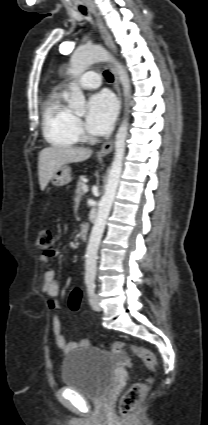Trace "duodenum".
<instances>
[{
	"label": "duodenum",
	"mask_w": 208,
	"mask_h": 425,
	"mask_svg": "<svg viewBox=\"0 0 208 425\" xmlns=\"http://www.w3.org/2000/svg\"><path fill=\"white\" fill-rule=\"evenodd\" d=\"M80 237L82 240H86L88 238V228L87 226H82L80 229Z\"/></svg>",
	"instance_id": "410a0bca"
}]
</instances>
